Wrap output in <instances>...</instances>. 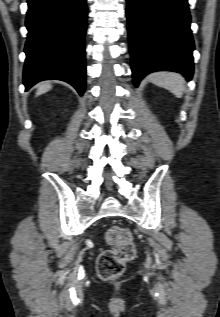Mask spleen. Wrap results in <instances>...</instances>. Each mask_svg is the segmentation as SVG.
<instances>
[{
  "mask_svg": "<svg viewBox=\"0 0 220 317\" xmlns=\"http://www.w3.org/2000/svg\"><path fill=\"white\" fill-rule=\"evenodd\" d=\"M148 79L152 83L168 89L178 97H181L183 95L185 82L182 75L178 73L170 71H160L150 74L148 76Z\"/></svg>",
  "mask_w": 220,
  "mask_h": 317,
  "instance_id": "3e777b00",
  "label": "spleen"
}]
</instances>
